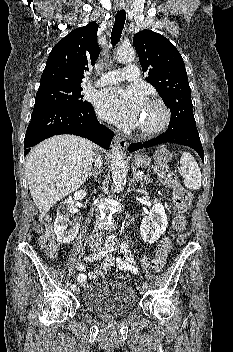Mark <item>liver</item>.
<instances>
[{
  "label": "liver",
  "mask_w": 233,
  "mask_h": 352,
  "mask_svg": "<svg viewBox=\"0 0 233 352\" xmlns=\"http://www.w3.org/2000/svg\"><path fill=\"white\" fill-rule=\"evenodd\" d=\"M96 145L74 135H57L36 145L25 162L30 194L41 216L87 179Z\"/></svg>",
  "instance_id": "obj_1"
}]
</instances>
